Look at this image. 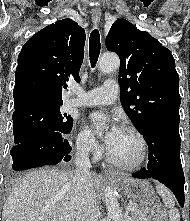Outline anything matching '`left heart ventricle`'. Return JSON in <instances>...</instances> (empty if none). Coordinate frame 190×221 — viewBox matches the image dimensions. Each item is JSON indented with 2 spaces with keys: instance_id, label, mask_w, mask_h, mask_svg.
Returning a JSON list of instances; mask_svg holds the SVG:
<instances>
[{
  "instance_id": "obj_1",
  "label": "left heart ventricle",
  "mask_w": 190,
  "mask_h": 221,
  "mask_svg": "<svg viewBox=\"0 0 190 221\" xmlns=\"http://www.w3.org/2000/svg\"><path fill=\"white\" fill-rule=\"evenodd\" d=\"M107 148L116 159L124 163H134L141 156V144L138 138L121 128L107 143Z\"/></svg>"
}]
</instances>
